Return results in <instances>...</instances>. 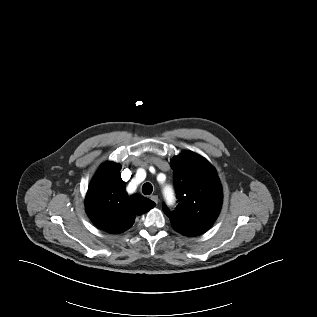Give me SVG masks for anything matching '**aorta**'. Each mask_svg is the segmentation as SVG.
Instances as JSON below:
<instances>
[{"label":"aorta","mask_w":317,"mask_h":317,"mask_svg":"<svg viewBox=\"0 0 317 317\" xmlns=\"http://www.w3.org/2000/svg\"><path fill=\"white\" fill-rule=\"evenodd\" d=\"M165 194H166V199H167L169 202H172V201H173V198H174V195H173L172 189L169 188V186H166V187H165Z\"/></svg>","instance_id":"1"}]
</instances>
